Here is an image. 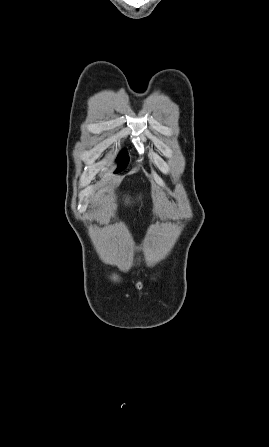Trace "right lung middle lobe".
Segmentation results:
<instances>
[{
	"label": "right lung middle lobe",
	"instance_id": "obj_1",
	"mask_svg": "<svg viewBox=\"0 0 269 447\" xmlns=\"http://www.w3.org/2000/svg\"><path fill=\"white\" fill-rule=\"evenodd\" d=\"M118 160H119V165H118V168L116 169L115 173L122 171L127 166L128 162H129V157H128L127 153L122 152L121 154H119Z\"/></svg>",
	"mask_w": 269,
	"mask_h": 447
}]
</instances>
